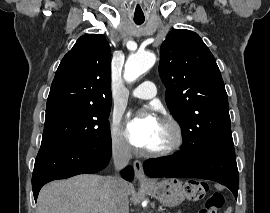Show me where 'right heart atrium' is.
<instances>
[{"instance_id":"d8ad5b80","label":"right heart atrium","mask_w":270,"mask_h":213,"mask_svg":"<svg viewBox=\"0 0 270 213\" xmlns=\"http://www.w3.org/2000/svg\"><path fill=\"white\" fill-rule=\"evenodd\" d=\"M110 145L112 151L118 156L127 157L130 154V147L123 137L117 116H114L110 126Z\"/></svg>"}]
</instances>
